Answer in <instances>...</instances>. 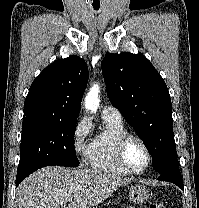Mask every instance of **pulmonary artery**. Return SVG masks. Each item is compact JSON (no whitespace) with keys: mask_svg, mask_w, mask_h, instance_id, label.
Returning a JSON list of instances; mask_svg holds the SVG:
<instances>
[{"mask_svg":"<svg viewBox=\"0 0 199 208\" xmlns=\"http://www.w3.org/2000/svg\"><path fill=\"white\" fill-rule=\"evenodd\" d=\"M102 117L110 118L116 121H122V114L120 113V111L111 105H105L103 107Z\"/></svg>","mask_w":199,"mask_h":208,"instance_id":"obj_1","label":"pulmonary artery"}]
</instances>
